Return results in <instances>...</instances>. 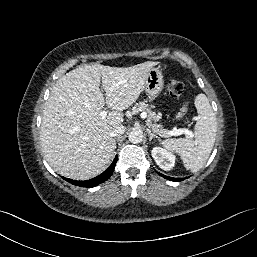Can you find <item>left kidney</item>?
Here are the masks:
<instances>
[{"label":"left kidney","mask_w":257,"mask_h":257,"mask_svg":"<svg viewBox=\"0 0 257 257\" xmlns=\"http://www.w3.org/2000/svg\"><path fill=\"white\" fill-rule=\"evenodd\" d=\"M151 153L157 165L163 170L169 171L174 167L176 157L171 152L161 147H154Z\"/></svg>","instance_id":"1"}]
</instances>
